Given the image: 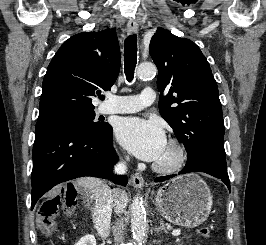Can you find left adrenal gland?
<instances>
[{
  "mask_svg": "<svg viewBox=\"0 0 266 245\" xmlns=\"http://www.w3.org/2000/svg\"><path fill=\"white\" fill-rule=\"evenodd\" d=\"M160 231H164V233H166V235L168 233V231H166V229H165L164 221H160V227H159V229H157V233H160Z\"/></svg>",
  "mask_w": 266,
  "mask_h": 245,
  "instance_id": "1",
  "label": "left adrenal gland"
}]
</instances>
